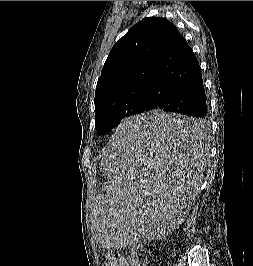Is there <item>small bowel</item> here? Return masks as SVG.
<instances>
[{
  "label": "small bowel",
  "mask_w": 253,
  "mask_h": 266,
  "mask_svg": "<svg viewBox=\"0 0 253 266\" xmlns=\"http://www.w3.org/2000/svg\"><path fill=\"white\" fill-rule=\"evenodd\" d=\"M140 248H133L131 253L124 258L122 266H147L139 257Z\"/></svg>",
  "instance_id": "1"
}]
</instances>
